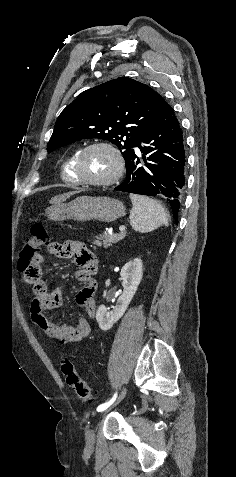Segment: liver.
Returning a JSON list of instances; mask_svg holds the SVG:
<instances>
[{
  "label": "liver",
  "mask_w": 236,
  "mask_h": 477,
  "mask_svg": "<svg viewBox=\"0 0 236 477\" xmlns=\"http://www.w3.org/2000/svg\"><path fill=\"white\" fill-rule=\"evenodd\" d=\"M75 193H76V192L73 191V192H69V193H66V194L57 195V196L51 198L50 203H51V204H60V203H62L64 200H66L67 198H69L70 196H72V195L75 194Z\"/></svg>",
  "instance_id": "6515ba94"
}]
</instances>
